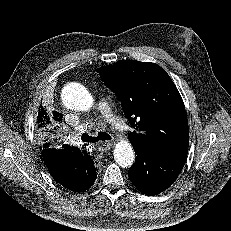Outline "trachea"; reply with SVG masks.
<instances>
[{
	"label": "trachea",
	"mask_w": 231,
	"mask_h": 231,
	"mask_svg": "<svg viewBox=\"0 0 231 231\" xmlns=\"http://www.w3.org/2000/svg\"><path fill=\"white\" fill-rule=\"evenodd\" d=\"M82 142H87V143H95L98 141H108L111 140V136L106 133V132H98V135L96 137H92L88 135L87 133H83L81 136Z\"/></svg>",
	"instance_id": "1"
}]
</instances>
